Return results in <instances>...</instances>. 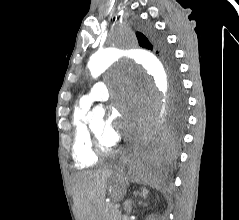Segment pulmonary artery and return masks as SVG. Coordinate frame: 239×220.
<instances>
[{"label":"pulmonary artery","mask_w":239,"mask_h":220,"mask_svg":"<svg viewBox=\"0 0 239 220\" xmlns=\"http://www.w3.org/2000/svg\"><path fill=\"white\" fill-rule=\"evenodd\" d=\"M108 98L107 85L104 82H97L80 98V103L89 107L96 101H106Z\"/></svg>","instance_id":"1"}]
</instances>
